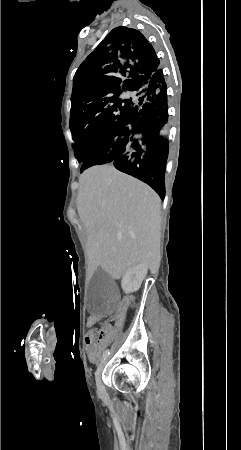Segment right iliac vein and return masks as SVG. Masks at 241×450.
<instances>
[{
	"instance_id": "obj_1",
	"label": "right iliac vein",
	"mask_w": 241,
	"mask_h": 450,
	"mask_svg": "<svg viewBox=\"0 0 241 450\" xmlns=\"http://www.w3.org/2000/svg\"><path fill=\"white\" fill-rule=\"evenodd\" d=\"M105 360L106 359H104L102 361V363L99 365V367L97 369V372H96V386H97V389H98L100 394H104V391H105V387H104V384H103L102 379H101L102 370H103V367L105 365L104 364Z\"/></svg>"
}]
</instances>
